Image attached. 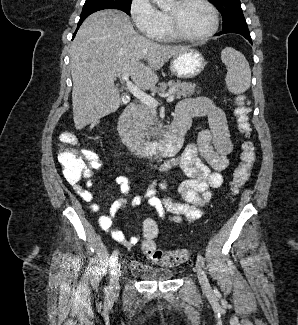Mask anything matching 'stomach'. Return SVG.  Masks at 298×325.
<instances>
[{"mask_svg": "<svg viewBox=\"0 0 298 325\" xmlns=\"http://www.w3.org/2000/svg\"><path fill=\"white\" fill-rule=\"evenodd\" d=\"M208 60L199 48H188L172 56L169 68L176 78H194L204 70Z\"/></svg>", "mask_w": 298, "mask_h": 325, "instance_id": "1", "label": "stomach"}]
</instances>
